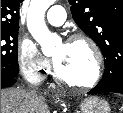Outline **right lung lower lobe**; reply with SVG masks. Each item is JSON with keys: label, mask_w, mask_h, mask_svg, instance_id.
Returning <instances> with one entry per match:
<instances>
[{"label": "right lung lower lobe", "mask_w": 123, "mask_h": 113, "mask_svg": "<svg viewBox=\"0 0 123 113\" xmlns=\"http://www.w3.org/2000/svg\"><path fill=\"white\" fill-rule=\"evenodd\" d=\"M16 82V78H1V88L12 86Z\"/></svg>", "instance_id": "1"}]
</instances>
